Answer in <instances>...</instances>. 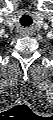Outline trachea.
<instances>
[{"instance_id": "3493384b", "label": "trachea", "mask_w": 53, "mask_h": 120, "mask_svg": "<svg viewBox=\"0 0 53 120\" xmlns=\"http://www.w3.org/2000/svg\"><path fill=\"white\" fill-rule=\"evenodd\" d=\"M20 23L23 26H30L32 24V18L28 15H23L20 19Z\"/></svg>"}]
</instances>
